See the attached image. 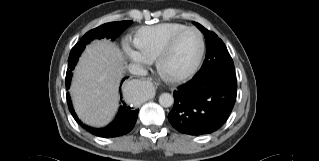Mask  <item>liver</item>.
<instances>
[{"instance_id":"6515ba94","label":"liver","mask_w":319,"mask_h":161,"mask_svg":"<svg viewBox=\"0 0 319 161\" xmlns=\"http://www.w3.org/2000/svg\"><path fill=\"white\" fill-rule=\"evenodd\" d=\"M124 68L123 54L115 44L96 40L87 46L70 88L75 111L84 123L101 127L112 120Z\"/></svg>"}]
</instances>
